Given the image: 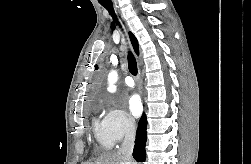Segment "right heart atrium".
I'll list each match as a JSON object with an SVG mask.
<instances>
[{
    "mask_svg": "<svg viewBox=\"0 0 251 164\" xmlns=\"http://www.w3.org/2000/svg\"><path fill=\"white\" fill-rule=\"evenodd\" d=\"M102 123L113 142H120L135 132L134 119L112 103L106 106Z\"/></svg>",
    "mask_w": 251,
    "mask_h": 164,
    "instance_id": "d8ad5b80",
    "label": "right heart atrium"
}]
</instances>
